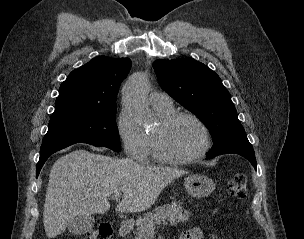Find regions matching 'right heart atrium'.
<instances>
[{
  "mask_svg": "<svg viewBox=\"0 0 304 239\" xmlns=\"http://www.w3.org/2000/svg\"><path fill=\"white\" fill-rule=\"evenodd\" d=\"M116 127L126 155L136 160H146L151 147L150 139L126 108L121 109Z\"/></svg>",
  "mask_w": 304,
  "mask_h": 239,
  "instance_id": "obj_1",
  "label": "right heart atrium"
}]
</instances>
